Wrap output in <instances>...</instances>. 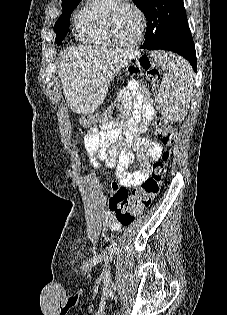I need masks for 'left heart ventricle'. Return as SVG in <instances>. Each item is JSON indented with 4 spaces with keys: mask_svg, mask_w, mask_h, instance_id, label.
I'll return each instance as SVG.
<instances>
[{
    "mask_svg": "<svg viewBox=\"0 0 227 315\" xmlns=\"http://www.w3.org/2000/svg\"><path fill=\"white\" fill-rule=\"evenodd\" d=\"M140 29L141 19L138 13L130 7L121 8L114 24L117 40L123 44H131L138 39Z\"/></svg>",
    "mask_w": 227,
    "mask_h": 315,
    "instance_id": "b2bd125f",
    "label": "left heart ventricle"
}]
</instances>
